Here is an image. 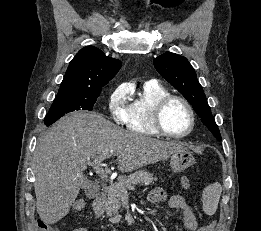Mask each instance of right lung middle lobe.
<instances>
[{
  "mask_svg": "<svg viewBox=\"0 0 261 231\" xmlns=\"http://www.w3.org/2000/svg\"><path fill=\"white\" fill-rule=\"evenodd\" d=\"M100 93L101 90L59 91L48 114L44 119L45 125L50 126L60 117L72 111H91Z\"/></svg>",
  "mask_w": 261,
  "mask_h": 231,
  "instance_id": "dd1d6c3e",
  "label": "right lung middle lobe"
}]
</instances>
